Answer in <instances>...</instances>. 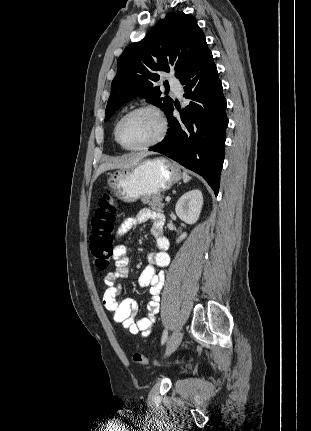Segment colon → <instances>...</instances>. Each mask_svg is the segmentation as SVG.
Listing matches in <instances>:
<instances>
[{
    "mask_svg": "<svg viewBox=\"0 0 311 431\" xmlns=\"http://www.w3.org/2000/svg\"><path fill=\"white\" fill-rule=\"evenodd\" d=\"M116 222V206L112 201L110 189L107 188L98 201V206L92 218V232L89 239V248L94 263L99 270L109 267L113 257L114 246L112 232ZM133 360L143 365H158L156 360H149L143 354L136 352ZM183 361H175L181 363Z\"/></svg>",
    "mask_w": 311,
    "mask_h": 431,
    "instance_id": "5ec220e1",
    "label": "colon"
}]
</instances>
